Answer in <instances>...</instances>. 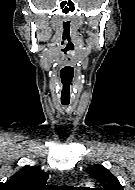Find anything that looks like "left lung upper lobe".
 Segmentation results:
<instances>
[{
  "instance_id": "obj_1",
  "label": "left lung upper lobe",
  "mask_w": 135,
  "mask_h": 190,
  "mask_svg": "<svg viewBox=\"0 0 135 190\" xmlns=\"http://www.w3.org/2000/svg\"><path fill=\"white\" fill-rule=\"evenodd\" d=\"M86 170L103 186V188H100L99 190H123L117 177L105 167L96 164L89 166Z\"/></svg>"
}]
</instances>
